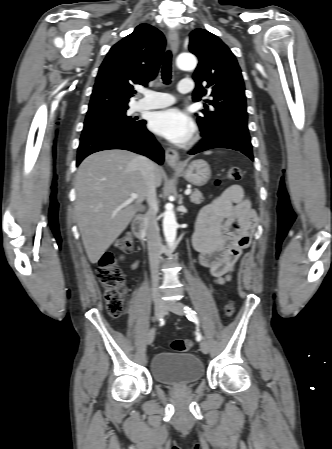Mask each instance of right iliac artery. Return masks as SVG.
Instances as JSON below:
<instances>
[{
  "instance_id": "82829eb1",
  "label": "right iliac artery",
  "mask_w": 332,
  "mask_h": 449,
  "mask_svg": "<svg viewBox=\"0 0 332 449\" xmlns=\"http://www.w3.org/2000/svg\"><path fill=\"white\" fill-rule=\"evenodd\" d=\"M160 321H161V323H163L164 321H163V319H160Z\"/></svg>"
}]
</instances>
